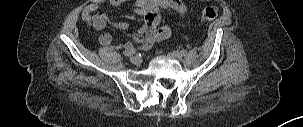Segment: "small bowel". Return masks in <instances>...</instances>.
Wrapping results in <instances>:
<instances>
[{"mask_svg":"<svg viewBox=\"0 0 303 127\" xmlns=\"http://www.w3.org/2000/svg\"><path fill=\"white\" fill-rule=\"evenodd\" d=\"M130 0H96L89 4L83 11V18L91 21L95 28L102 29L108 22V17L105 13L98 12L106 3L112 6H119ZM169 11L182 17L187 13V7L181 0H135L134 12L145 17L144 25L134 34L133 40L138 44L139 49L148 50L155 43L164 41L170 35V29L167 26H160L161 13ZM114 26L120 30H126L128 23L116 22ZM100 43L105 47H110L115 50L129 51L134 49L131 42L121 43L114 42L112 36L104 33L99 38Z\"/></svg>","mask_w":303,"mask_h":127,"instance_id":"1","label":"small bowel"}]
</instances>
